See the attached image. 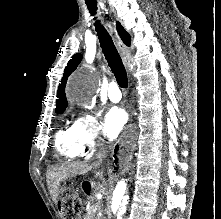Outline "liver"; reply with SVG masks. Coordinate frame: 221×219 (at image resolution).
Here are the masks:
<instances>
[{
    "label": "liver",
    "instance_id": "obj_1",
    "mask_svg": "<svg viewBox=\"0 0 221 219\" xmlns=\"http://www.w3.org/2000/svg\"><path fill=\"white\" fill-rule=\"evenodd\" d=\"M94 168L93 165L84 162H66L58 166L51 167L47 170V183L50 195L54 203L57 202L59 195V186L61 182L76 177L77 175H84ZM106 189L100 188V193L104 194Z\"/></svg>",
    "mask_w": 221,
    "mask_h": 219
}]
</instances>
